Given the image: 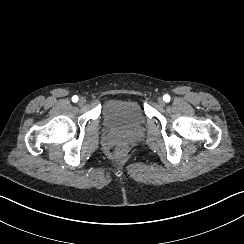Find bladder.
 <instances>
[{"mask_svg":"<svg viewBox=\"0 0 244 244\" xmlns=\"http://www.w3.org/2000/svg\"><path fill=\"white\" fill-rule=\"evenodd\" d=\"M103 121L113 129L139 130L146 116L138 103L129 99L110 98L102 106Z\"/></svg>","mask_w":244,"mask_h":244,"instance_id":"31cf9c89","label":"bladder"}]
</instances>
